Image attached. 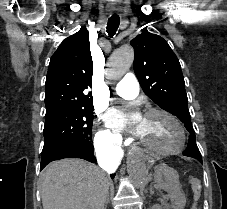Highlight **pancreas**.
Segmentation results:
<instances>
[{
	"instance_id": "cf45deb5",
	"label": "pancreas",
	"mask_w": 227,
	"mask_h": 209,
	"mask_svg": "<svg viewBox=\"0 0 227 209\" xmlns=\"http://www.w3.org/2000/svg\"><path fill=\"white\" fill-rule=\"evenodd\" d=\"M164 204H162L161 206L164 207V209H173L171 206V204L169 203L168 199H165L162 201ZM168 207V208H167Z\"/></svg>"
}]
</instances>
